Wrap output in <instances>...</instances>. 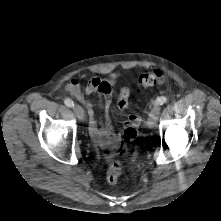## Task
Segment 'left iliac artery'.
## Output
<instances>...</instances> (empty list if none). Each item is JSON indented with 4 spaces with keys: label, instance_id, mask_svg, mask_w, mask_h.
I'll return each mask as SVG.
<instances>
[{
    "label": "left iliac artery",
    "instance_id": "left-iliac-artery-1",
    "mask_svg": "<svg viewBox=\"0 0 221 221\" xmlns=\"http://www.w3.org/2000/svg\"><path fill=\"white\" fill-rule=\"evenodd\" d=\"M166 102H167V98L164 96H161L156 99L155 104L156 105H163Z\"/></svg>",
    "mask_w": 221,
    "mask_h": 221
}]
</instances>
